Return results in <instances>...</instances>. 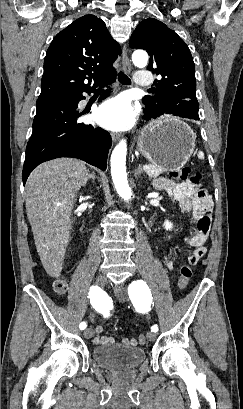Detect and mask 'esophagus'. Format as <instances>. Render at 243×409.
Listing matches in <instances>:
<instances>
[{
  "label": "esophagus",
  "instance_id": "1",
  "mask_svg": "<svg viewBox=\"0 0 243 409\" xmlns=\"http://www.w3.org/2000/svg\"><path fill=\"white\" fill-rule=\"evenodd\" d=\"M122 69L124 72L131 71V63L127 54V48L124 46L123 53H122ZM111 137L114 141L120 139L121 135L119 133H111Z\"/></svg>",
  "mask_w": 243,
  "mask_h": 409
}]
</instances>
